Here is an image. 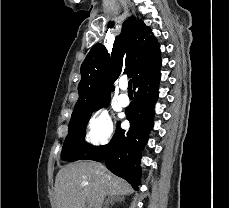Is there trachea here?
<instances>
[{
    "instance_id": "obj_1",
    "label": "trachea",
    "mask_w": 229,
    "mask_h": 208,
    "mask_svg": "<svg viewBox=\"0 0 229 208\" xmlns=\"http://www.w3.org/2000/svg\"><path fill=\"white\" fill-rule=\"evenodd\" d=\"M128 91H132V80L128 82Z\"/></svg>"
}]
</instances>
